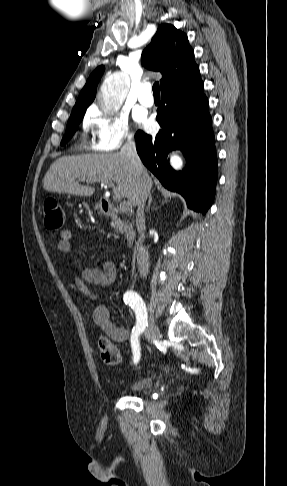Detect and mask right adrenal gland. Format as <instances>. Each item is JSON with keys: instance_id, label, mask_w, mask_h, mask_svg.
<instances>
[{"instance_id": "right-adrenal-gland-1", "label": "right adrenal gland", "mask_w": 287, "mask_h": 486, "mask_svg": "<svg viewBox=\"0 0 287 486\" xmlns=\"http://www.w3.org/2000/svg\"><path fill=\"white\" fill-rule=\"evenodd\" d=\"M152 201H153L152 195L150 194L149 195V200H148V205L146 207V211H149Z\"/></svg>"}]
</instances>
